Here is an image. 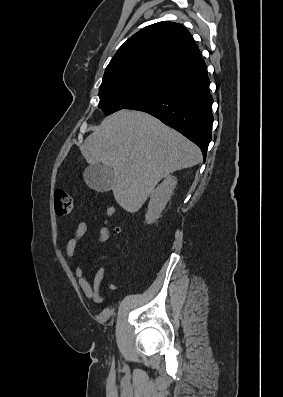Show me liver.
<instances>
[{
    "instance_id": "obj_1",
    "label": "liver",
    "mask_w": 283,
    "mask_h": 397,
    "mask_svg": "<svg viewBox=\"0 0 283 397\" xmlns=\"http://www.w3.org/2000/svg\"><path fill=\"white\" fill-rule=\"evenodd\" d=\"M82 156L114 172L113 195L127 212L135 213L158 182L177 170L202 161L196 144L157 118L122 109L106 117L90 134Z\"/></svg>"
}]
</instances>
